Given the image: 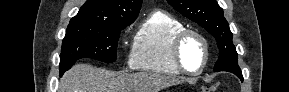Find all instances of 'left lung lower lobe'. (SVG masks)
Listing matches in <instances>:
<instances>
[{
    "label": "left lung lower lobe",
    "mask_w": 289,
    "mask_h": 92,
    "mask_svg": "<svg viewBox=\"0 0 289 92\" xmlns=\"http://www.w3.org/2000/svg\"><path fill=\"white\" fill-rule=\"evenodd\" d=\"M235 75H237L241 79V81H243L242 73H235Z\"/></svg>",
    "instance_id": "1"
}]
</instances>
